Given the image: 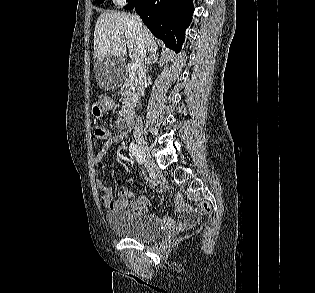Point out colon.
<instances>
[{"label":"colon","mask_w":315,"mask_h":293,"mask_svg":"<svg viewBox=\"0 0 315 293\" xmlns=\"http://www.w3.org/2000/svg\"><path fill=\"white\" fill-rule=\"evenodd\" d=\"M94 136L97 140H105L108 136V132L105 128L97 126L94 128ZM202 209L206 213L211 211V208L208 204H203Z\"/></svg>","instance_id":"obj_1"}]
</instances>
